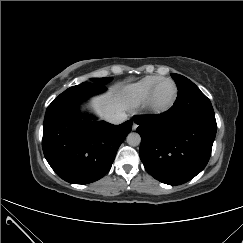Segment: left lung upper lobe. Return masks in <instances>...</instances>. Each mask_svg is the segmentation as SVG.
Returning a JSON list of instances; mask_svg holds the SVG:
<instances>
[{
  "label": "left lung upper lobe",
  "instance_id": "left-lung-upper-lobe-1",
  "mask_svg": "<svg viewBox=\"0 0 243 243\" xmlns=\"http://www.w3.org/2000/svg\"><path fill=\"white\" fill-rule=\"evenodd\" d=\"M179 91L186 90L181 98L183 111L192 116H215L210 100L199 90V88L186 77L172 73Z\"/></svg>",
  "mask_w": 243,
  "mask_h": 243
}]
</instances>
